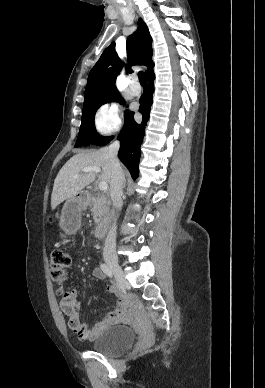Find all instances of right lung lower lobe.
Wrapping results in <instances>:
<instances>
[{
	"label": "right lung lower lobe",
	"mask_w": 265,
	"mask_h": 388,
	"mask_svg": "<svg viewBox=\"0 0 265 388\" xmlns=\"http://www.w3.org/2000/svg\"><path fill=\"white\" fill-rule=\"evenodd\" d=\"M155 75L148 76V86L142 94L139 103V112L142 114V122L136 123L133 118L134 112H128L125 117V124L118 139L121 141L118 153L119 159L129 169L132 178L135 180L139 175L140 145L145 134V127L149 119L152 95L154 93Z\"/></svg>",
	"instance_id": "1"
}]
</instances>
